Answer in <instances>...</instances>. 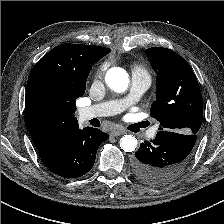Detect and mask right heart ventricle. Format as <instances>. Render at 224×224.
<instances>
[{"label": "right heart ventricle", "mask_w": 224, "mask_h": 224, "mask_svg": "<svg viewBox=\"0 0 224 224\" xmlns=\"http://www.w3.org/2000/svg\"><path fill=\"white\" fill-rule=\"evenodd\" d=\"M134 71H135V72H140V71H141V68H140V67H135V68H134Z\"/></svg>", "instance_id": "right-heart-ventricle-1"}]
</instances>
